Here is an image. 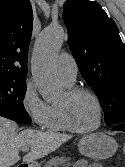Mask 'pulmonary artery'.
<instances>
[{
  "mask_svg": "<svg viewBox=\"0 0 125 167\" xmlns=\"http://www.w3.org/2000/svg\"><path fill=\"white\" fill-rule=\"evenodd\" d=\"M57 69L67 84H73L77 78L78 67L71 54L61 53L57 58Z\"/></svg>",
  "mask_w": 125,
  "mask_h": 167,
  "instance_id": "1",
  "label": "pulmonary artery"
}]
</instances>
